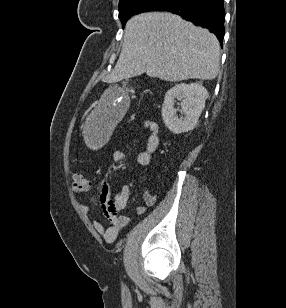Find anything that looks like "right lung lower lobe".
Listing matches in <instances>:
<instances>
[{"instance_id":"98d812e1","label":"right lung lower lobe","mask_w":286,"mask_h":308,"mask_svg":"<svg viewBox=\"0 0 286 308\" xmlns=\"http://www.w3.org/2000/svg\"><path fill=\"white\" fill-rule=\"evenodd\" d=\"M224 0H168L153 11H167L193 22L195 25L210 29L223 41L225 29Z\"/></svg>"}]
</instances>
